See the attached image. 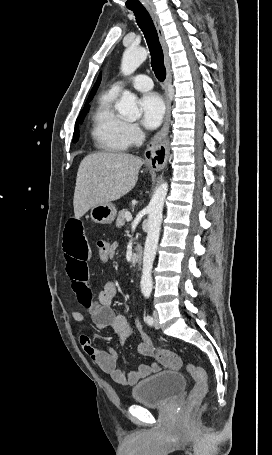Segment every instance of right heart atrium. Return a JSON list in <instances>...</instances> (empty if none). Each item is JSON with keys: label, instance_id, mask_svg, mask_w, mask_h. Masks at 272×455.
<instances>
[{"label": "right heart atrium", "instance_id": "1", "mask_svg": "<svg viewBox=\"0 0 272 455\" xmlns=\"http://www.w3.org/2000/svg\"><path fill=\"white\" fill-rule=\"evenodd\" d=\"M126 136L130 144L137 145L144 139V133L135 123H126Z\"/></svg>", "mask_w": 272, "mask_h": 455}]
</instances>
